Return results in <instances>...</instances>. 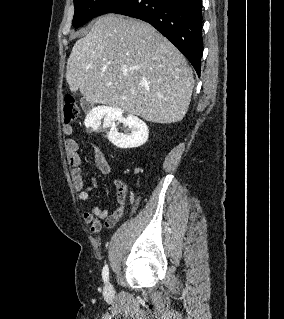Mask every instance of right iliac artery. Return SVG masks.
Here are the masks:
<instances>
[{"label": "right iliac artery", "mask_w": 284, "mask_h": 319, "mask_svg": "<svg viewBox=\"0 0 284 319\" xmlns=\"http://www.w3.org/2000/svg\"><path fill=\"white\" fill-rule=\"evenodd\" d=\"M102 278H103L104 282H107L108 279H109V269H108V266H107V265H105V266L103 267V270H102Z\"/></svg>", "instance_id": "right-iliac-artery-1"}]
</instances>
